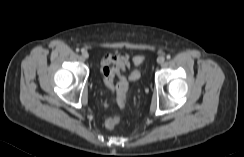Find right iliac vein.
<instances>
[{"instance_id": "obj_1", "label": "right iliac vein", "mask_w": 244, "mask_h": 157, "mask_svg": "<svg viewBox=\"0 0 244 157\" xmlns=\"http://www.w3.org/2000/svg\"><path fill=\"white\" fill-rule=\"evenodd\" d=\"M81 56H82L83 59H88L89 54H88V52L83 51L82 54H81Z\"/></svg>"}]
</instances>
